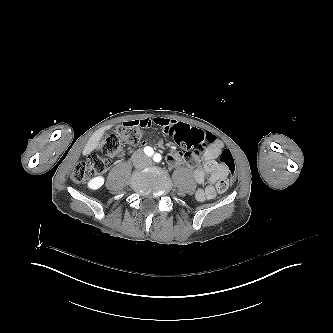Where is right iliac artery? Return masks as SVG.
<instances>
[{
	"label": "right iliac artery",
	"instance_id": "obj_1",
	"mask_svg": "<svg viewBox=\"0 0 333 333\" xmlns=\"http://www.w3.org/2000/svg\"><path fill=\"white\" fill-rule=\"evenodd\" d=\"M144 152H145L146 155H148V156H152L153 153H154V151H153V149H152L151 147H145V148H144Z\"/></svg>",
	"mask_w": 333,
	"mask_h": 333
}]
</instances>
